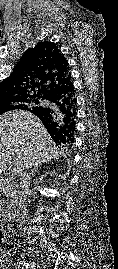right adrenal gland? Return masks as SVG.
<instances>
[{
  "instance_id": "1",
  "label": "right adrenal gland",
  "mask_w": 118,
  "mask_h": 269,
  "mask_svg": "<svg viewBox=\"0 0 118 269\" xmlns=\"http://www.w3.org/2000/svg\"><path fill=\"white\" fill-rule=\"evenodd\" d=\"M40 166H41V164L33 167L32 172H31V176H35V174H36V172H38V169Z\"/></svg>"
}]
</instances>
